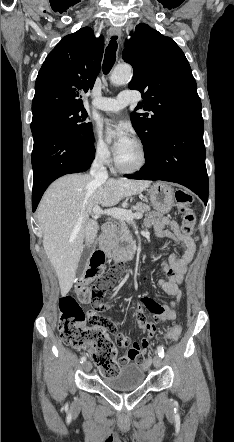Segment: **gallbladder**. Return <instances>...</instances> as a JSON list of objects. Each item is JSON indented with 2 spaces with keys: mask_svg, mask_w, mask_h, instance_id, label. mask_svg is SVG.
Returning a JSON list of instances; mask_svg holds the SVG:
<instances>
[{
  "mask_svg": "<svg viewBox=\"0 0 234 442\" xmlns=\"http://www.w3.org/2000/svg\"><path fill=\"white\" fill-rule=\"evenodd\" d=\"M93 249H94V245H90L83 250L78 267H77V271H76L77 278H80L84 274L86 267H87L88 259L91 255Z\"/></svg>",
  "mask_w": 234,
  "mask_h": 442,
  "instance_id": "gallbladder-1",
  "label": "gallbladder"
}]
</instances>
